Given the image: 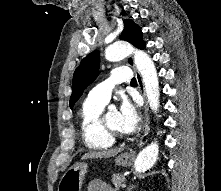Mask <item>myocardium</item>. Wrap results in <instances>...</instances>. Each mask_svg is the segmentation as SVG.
<instances>
[{"instance_id":"obj_1","label":"myocardium","mask_w":221,"mask_h":191,"mask_svg":"<svg viewBox=\"0 0 221 191\" xmlns=\"http://www.w3.org/2000/svg\"><path fill=\"white\" fill-rule=\"evenodd\" d=\"M104 125L107 129V131L109 132V134L111 135V137L115 140V139H119L122 140L125 138V135L123 132L118 131L116 129H114L113 127H111L107 121L104 122Z\"/></svg>"}]
</instances>
